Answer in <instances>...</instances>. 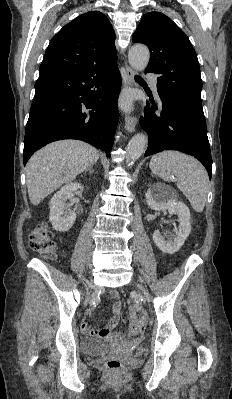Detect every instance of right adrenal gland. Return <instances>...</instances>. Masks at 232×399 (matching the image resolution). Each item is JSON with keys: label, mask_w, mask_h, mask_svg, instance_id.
Listing matches in <instances>:
<instances>
[{"label": "right adrenal gland", "mask_w": 232, "mask_h": 399, "mask_svg": "<svg viewBox=\"0 0 232 399\" xmlns=\"http://www.w3.org/2000/svg\"><path fill=\"white\" fill-rule=\"evenodd\" d=\"M93 166L94 164H92V166H89V168H87V170H84V172H89V174H93Z\"/></svg>", "instance_id": "2a0ac1e0"}]
</instances>
